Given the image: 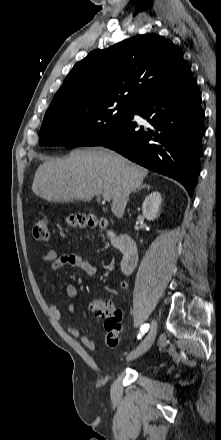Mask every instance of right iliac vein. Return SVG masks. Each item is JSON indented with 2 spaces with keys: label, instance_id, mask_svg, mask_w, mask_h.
<instances>
[{
  "label": "right iliac vein",
  "instance_id": "right-iliac-vein-1",
  "mask_svg": "<svg viewBox=\"0 0 221 440\" xmlns=\"http://www.w3.org/2000/svg\"><path fill=\"white\" fill-rule=\"evenodd\" d=\"M157 332V325L155 322L152 323L151 330L147 334L146 338L141 342V344L128 356L129 360H133L143 355L152 346Z\"/></svg>",
  "mask_w": 221,
  "mask_h": 440
}]
</instances>
